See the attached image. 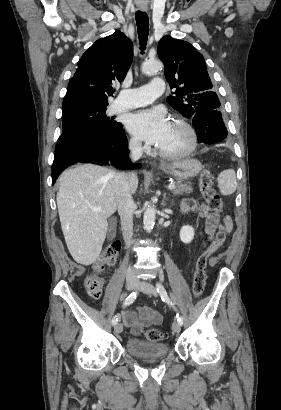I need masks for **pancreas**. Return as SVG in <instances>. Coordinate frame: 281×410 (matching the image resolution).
<instances>
[{
  "label": "pancreas",
  "mask_w": 281,
  "mask_h": 410,
  "mask_svg": "<svg viewBox=\"0 0 281 410\" xmlns=\"http://www.w3.org/2000/svg\"><path fill=\"white\" fill-rule=\"evenodd\" d=\"M175 189H173L172 193L174 195H182V194H190L193 191V188L190 184L182 183L180 181H174Z\"/></svg>",
  "instance_id": "obj_1"
}]
</instances>
